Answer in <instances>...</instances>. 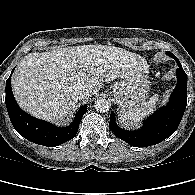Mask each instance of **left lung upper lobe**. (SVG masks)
<instances>
[{"instance_id":"1","label":"left lung upper lobe","mask_w":195,"mask_h":195,"mask_svg":"<svg viewBox=\"0 0 195 195\" xmlns=\"http://www.w3.org/2000/svg\"><path fill=\"white\" fill-rule=\"evenodd\" d=\"M168 54L173 55L171 52L167 51ZM171 57V56H170Z\"/></svg>"}]
</instances>
